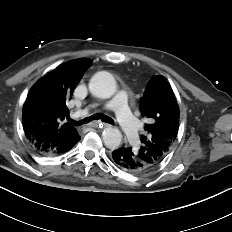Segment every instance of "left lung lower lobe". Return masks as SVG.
Listing matches in <instances>:
<instances>
[{
  "label": "left lung lower lobe",
  "instance_id": "1",
  "mask_svg": "<svg viewBox=\"0 0 232 232\" xmlns=\"http://www.w3.org/2000/svg\"><path fill=\"white\" fill-rule=\"evenodd\" d=\"M112 161L122 170L131 173H143L151 167L142 161L131 147H121L112 152Z\"/></svg>",
  "mask_w": 232,
  "mask_h": 232
}]
</instances>
